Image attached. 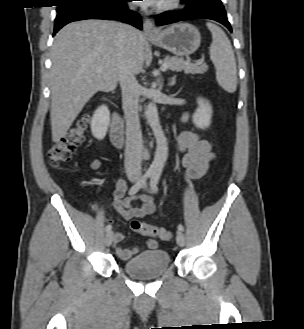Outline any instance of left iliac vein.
Listing matches in <instances>:
<instances>
[{"mask_svg":"<svg viewBox=\"0 0 304 329\" xmlns=\"http://www.w3.org/2000/svg\"><path fill=\"white\" fill-rule=\"evenodd\" d=\"M185 235L182 231H178L177 232V236H176V242L180 247H183L185 245Z\"/></svg>","mask_w":304,"mask_h":329,"instance_id":"left-iliac-vein-1","label":"left iliac vein"}]
</instances>
